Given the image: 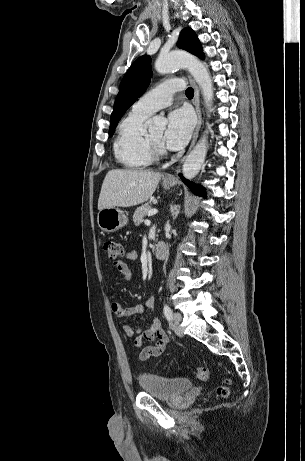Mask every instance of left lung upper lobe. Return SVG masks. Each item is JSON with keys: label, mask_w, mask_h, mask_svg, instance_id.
Returning <instances> with one entry per match:
<instances>
[{"label": "left lung upper lobe", "mask_w": 305, "mask_h": 461, "mask_svg": "<svg viewBox=\"0 0 305 461\" xmlns=\"http://www.w3.org/2000/svg\"><path fill=\"white\" fill-rule=\"evenodd\" d=\"M177 46L199 58L204 59L202 46L195 32L190 28L181 31ZM151 58L147 55L139 57L123 77L119 93L116 97L111 114L109 135L112 136L115 128L126 110L147 89L151 78Z\"/></svg>", "instance_id": "1"}]
</instances>
